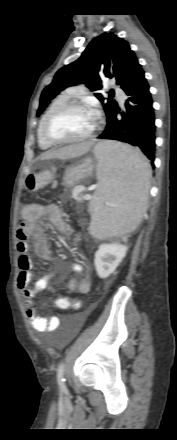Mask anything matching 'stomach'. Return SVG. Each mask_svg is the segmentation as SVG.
<instances>
[{
    "mask_svg": "<svg viewBox=\"0 0 177 440\" xmlns=\"http://www.w3.org/2000/svg\"><path fill=\"white\" fill-rule=\"evenodd\" d=\"M97 169V163L94 158L86 157L80 163L66 168L63 177L65 187H73L79 182L85 180Z\"/></svg>",
    "mask_w": 177,
    "mask_h": 440,
    "instance_id": "stomach-1",
    "label": "stomach"
}]
</instances>
